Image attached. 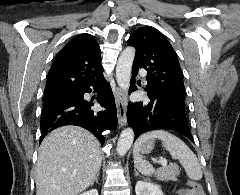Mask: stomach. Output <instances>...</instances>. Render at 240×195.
I'll list each match as a JSON object with an SVG mask.
<instances>
[{
	"label": "stomach",
	"instance_id": "stomach-1",
	"mask_svg": "<svg viewBox=\"0 0 240 195\" xmlns=\"http://www.w3.org/2000/svg\"><path fill=\"white\" fill-rule=\"evenodd\" d=\"M155 139H147L139 143V153H151L154 147Z\"/></svg>",
	"mask_w": 240,
	"mask_h": 195
}]
</instances>
